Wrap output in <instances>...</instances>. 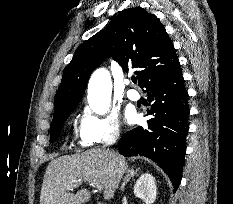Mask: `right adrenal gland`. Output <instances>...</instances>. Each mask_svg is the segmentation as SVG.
<instances>
[{
    "mask_svg": "<svg viewBox=\"0 0 233 204\" xmlns=\"http://www.w3.org/2000/svg\"><path fill=\"white\" fill-rule=\"evenodd\" d=\"M140 168H137L136 170H134L133 168H129L127 171V175L125 177V179L123 180V183L121 185V191H124L125 185L130 181L131 177H133L137 171H139Z\"/></svg>",
    "mask_w": 233,
    "mask_h": 204,
    "instance_id": "obj_1",
    "label": "right adrenal gland"
}]
</instances>
